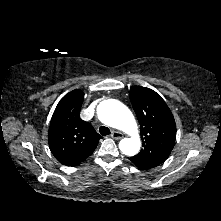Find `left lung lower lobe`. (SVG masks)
Listing matches in <instances>:
<instances>
[{
  "label": "left lung lower lobe",
  "instance_id": "0a47b994",
  "mask_svg": "<svg viewBox=\"0 0 221 221\" xmlns=\"http://www.w3.org/2000/svg\"><path fill=\"white\" fill-rule=\"evenodd\" d=\"M130 160L140 169H150V168H154L155 166H152L150 164L144 163L142 161L133 159L132 157L130 158Z\"/></svg>",
  "mask_w": 221,
  "mask_h": 221
}]
</instances>
